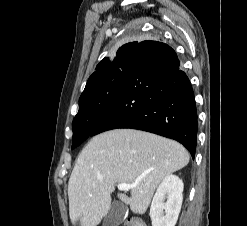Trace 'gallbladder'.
Masks as SVG:
<instances>
[{
    "mask_svg": "<svg viewBox=\"0 0 247 226\" xmlns=\"http://www.w3.org/2000/svg\"><path fill=\"white\" fill-rule=\"evenodd\" d=\"M126 214V206L120 201H114L104 217L103 226H119Z\"/></svg>",
    "mask_w": 247,
    "mask_h": 226,
    "instance_id": "gallbladder-1",
    "label": "gallbladder"
}]
</instances>
